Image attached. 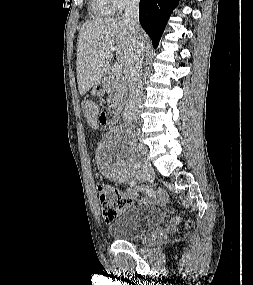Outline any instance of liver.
<instances>
[{"label": "liver", "mask_w": 253, "mask_h": 285, "mask_svg": "<svg viewBox=\"0 0 253 285\" xmlns=\"http://www.w3.org/2000/svg\"><path fill=\"white\" fill-rule=\"evenodd\" d=\"M138 34L143 44L146 33L140 28ZM134 32L122 17L104 18L84 23L79 32L77 46V82L80 95H84L108 70L112 59L110 45L115 47L116 58L121 67L129 58Z\"/></svg>", "instance_id": "6515ba94"}]
</instances>
